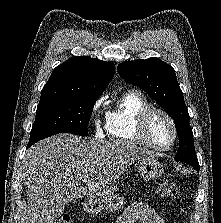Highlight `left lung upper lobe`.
Masks as SVG:
<instances>
[{
    "mask_svg": "<svg viewBox=\"0 0 221 223\" xmlns=\"http://www.w3.org/2000/svg\"><path fill=\"white\" fill-rule=\"evenodd\" d=\"M117 71L124 80L150 95L174 120L180 142L175 160L199 169L189 124L190 117L174 69L159 58L153 57L125 61L118 65Z\"/></svg>",
    "mask_w": 221,
    "mask_h": 223,
    "instance_id": "obj_1",
    "label": "left lung upper lobe"
}]
</instances>
